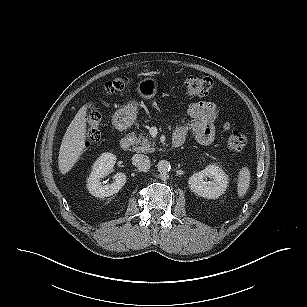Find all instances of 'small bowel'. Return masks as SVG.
I'll use <instances>...</instances> for the list:
<instances>
[{
    "mask_svg": "<svg viewBox=\"0 0 307 307\" xmlns=\"http://www.w3.org/2000/svg\"><path fill=\"white\" fill-rule=\"evenodd\" d=\"M217 107L209 102L199 101L192 103L188 108L190 121L180 124L174 131L173 139L178 138L183 142L191 133L195 140L202 144H211L215 139L214 122L218 117Z\"/></svg>",
    "mask_w": 307,
    "mask_h": 307,
    "instance_id": "1",
    "label": "small bowel"
}]
</instances>
